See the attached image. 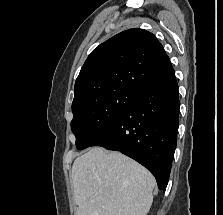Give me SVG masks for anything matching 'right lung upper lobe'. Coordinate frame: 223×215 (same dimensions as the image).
Instances as JSON below:
<instances>
[{"mask_svg":"<svg viewBox=\"0 0 223 215\" xmlns=\"http://www.w3.org/2000/svg\"><path fill=\"white\" fill-rule=\"evenodd\" d=\"M174 76L170 59L155 35L129 29L90 53L75 82L72 108L117 90L139 95Z\"/></svg>","mask_w":223,"mask_h":215,"instance_id":"right-lung-upper-lobe-1","label":"right lung upper lobe"}]
</instances>
